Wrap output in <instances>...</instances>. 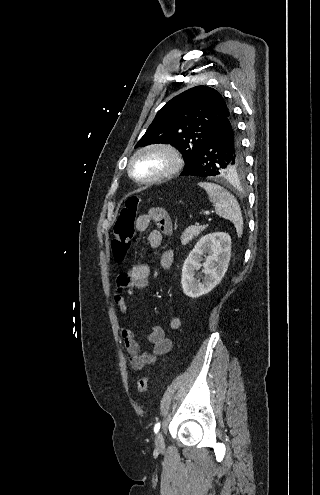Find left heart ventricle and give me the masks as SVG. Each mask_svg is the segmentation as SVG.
Instances as JSON below:
<instances>
[{
    "label": "left heart ventricle",
    "instance_id": "1",
    "mask_svg": "<svg viewBox=\"0 0 320 495\" xmlns=\"http://www.w3.org/2000/svg\"><path fill=\"white\" fill-rule=\"evenodd\" d=\"M167 164L168 161L163 155L156 153L146 154L135 161L133 171L138 177L148 178L163 171Z\"/></svg>",
    "mask_w": 320,
    "mask_h": 495
}]
</instances>
